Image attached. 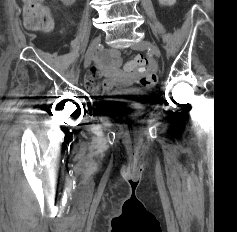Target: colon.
<instances>
[{"mask_svg":"<svg viewBox=\"0 0 237 232\" xmlns=\"http://www.w3.org/2000/svg\"><path fill=\"white\" fill-rule=\"evenodd\" d=\"M44 0H23V17L27 29L31 31H50L53 18L50 10L43 4ZM161 6H171L175 0H158ZM125 69L138 77L144 86H152L157 79L156 68L143 56H137L129 61Z\"/></svg>","mask_w":237,"mask_h":232,"instance_id":"1","label":"colon"}]
</instances>
